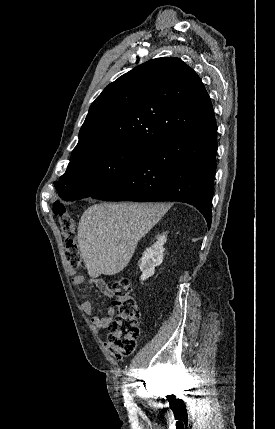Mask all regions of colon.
Returning <instances> with one entry per match:
<instances>
[{"label":"colon","mask_w":275,"mask_h":429,"mask_svg":"<svg viewBox=\"0 0 275 429\" xmlns=\"http://www.w3.org/2000/svg\"><path fill=\"white\" fill-rule=\"evenodd\" d=\"M53 211L58 217L62 236L65 240L67 261L72 268H80L83 265V260L76 239L75 219L60 202L54 203ZM111 290L115 296L114 305L117 308V315L116 319L109 325L110 332L105 345L114 358L121 360L132 354L136 348V342L140 336L138 326L140 313L128 278H117L113 282Z\"/></svg>","instance_id":"colon-1"}]
</instances>
